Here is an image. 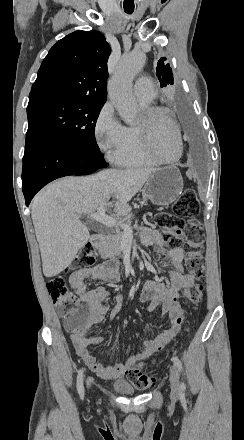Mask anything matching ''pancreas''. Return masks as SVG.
<instances>
[{
  "label": "pancreas",
  "mask_w": 244,
  "mask_h": 440,
  "mask_svg": "<svg viewBox=\"0 0 244 440\" xmlns=\"http://www.w3.org/2000/svg\"><path fill=\"white\" fill-rule=\"evenodd\" d=\"M124 232H120V230H115L113 234H108V236H104L103 240H101L100 246H98L97 250H99L100 256L106 260V258H115V256H120L122 252V240H123Z\"/></svg>",
  "instance_id": "obj_1"
}]
</instances>
